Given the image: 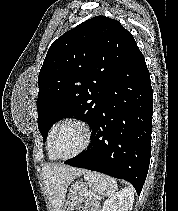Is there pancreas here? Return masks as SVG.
Here are the masks:
<instances>
[{
    "instance_id": "1",
    "label": "pancreas",
    "mask_w": 178,
    "mask_h": 211,
    "mask_svg": "<svg viewBox=\"0 0 178 211\" xmlns=\"http://www.w3.org/2000/svg\"><path fill=\"white\" fill-rule=\"evenodd\" d=\"M87 204L89 206H92L93 207V210L92 211H97V208H99V203L96 201L95 198L89 199L87 201Z\"/></svg>"
}]
</instances>
